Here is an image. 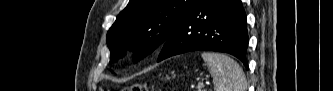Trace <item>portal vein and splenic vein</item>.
Instances as JSON below:
<instances>
[{
    "label": "portal vein and splenic vein",
    "mask_w": 333,
    "mask_h": 91,
    "mask_svg": "<svg viewBox=\"0 0 333 91\" xmlns=\"http://www.w3.org/2000/svg\"><path fill=\"white\" fill-rule=\"evenodd\" d=\"M204 86H205V84L202 83V84H199V85H198V88H202V87H204Z\"/></svg>",
    "instance_id": "1"
}]
</instances>
